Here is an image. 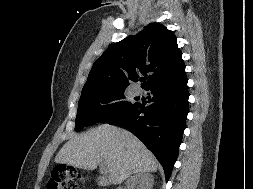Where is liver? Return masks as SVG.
I'll use <instances>...</instances> for the list:
<instances>
[{
  "label": "liver",
  "instance_id": "6515ba94",
  "mask_svg": "<svg viewBox=\"0 0 253 189\" xmlns=\"http://www.w3.org/2000/svg\"><path fill=\"white\" fill-rule=\"evenodd\" d=\"M55 162L87 170L103 163L113 184H120L133 173L156 172L158 167L154 155L138 138L108 124L71 137Z\"/></svg>",
  "mask_w": 253,
  "mask_h": 189
}]
</instances>
